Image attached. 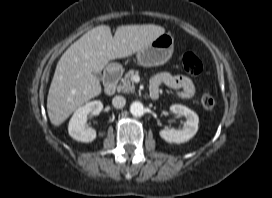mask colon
Returning <instances> with one entry per match:
<instances>
[{
	"label": "colon",
	"mask_w": 272,
	"mask_h": 198,
	"mask_svg": "<svg viewBox=\"0 0 272 198\" xmlns=\"http://www.w3.org/2000/svg\"><path fill=\"white\" fill-rule=\"evenodd\" d=\"M181 62L184 70L191 75H199L202 72V62L193 52L183 54ZM215 103L214 94L210 90H205L201 96L202 106L207 110H211L214 108Z\"/></svg>",
	"instance_id": "obj_1"
}]
</instances>
